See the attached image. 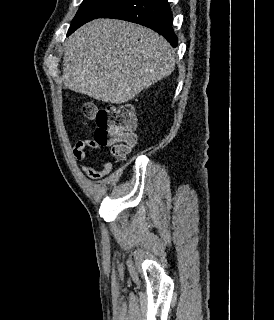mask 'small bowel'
<instances>
[{"label": "small bowel", "instance_id": "c3829d8e", "mask_svg": "<svg viewBox=\"0 0 274 320\" xmlns=\"http://www.w3.org/2000/svg\"><path fill=\"white\" fill-rule=\"evenodd\" d=\"M99 140H79L73 150L74 158L82 162L87 158L86 150L89 148L99 147ZM81 170L91 179H101L109 176L112 170V165L110 162H105L102 164V169L100 171L95 170L85 164L80 163Z\"/></svg>", "mask_w": 274, "mask_h": 320}]
</instances>
